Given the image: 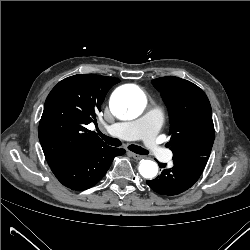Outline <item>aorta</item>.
Returning a JSON list of instances; mask_svg holds the SVG:
<instances>
[{
	"instance_id": "762f6f07",
	"label": "aorta",
	"mask_w": 250,
	"mask_h": 250,
	"mask_svg": "<svg viewBox=\"0 0 250 250\" xmlns=\"http://www.w3.org/2000/svg\"><path fill=\"white\" fill-rule=\"evenodd\" d=\"M147 105L144 94L135 86L116 90L110 100L113 115L124 119H133L141 115ZM139 172L144 178L151 179L158 173V165L151 160H141Z\"/></svg>"
}]
</instances>
